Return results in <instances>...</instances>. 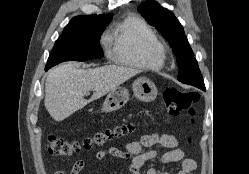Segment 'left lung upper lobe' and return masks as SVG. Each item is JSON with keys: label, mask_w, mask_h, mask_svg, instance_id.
Listing matches in <instances>:
<instances>
[{"label": "left lung upper lobe", "mask_w": 249, "mask_h": 174, "mask_svg": "<svg viewBox=\"0 0 249 174\" xmlns=\"http://www.w3.org/2000/svg\"><path fill=\"white\" fill-rule=\"evenodd\" d=\"M138 11L169 42L179 67L178 80L194 85L203 82L194 53L188 43L183 27L174 14L153 0L138 6Z\"/></svg>", "instance_id": "5c2ea615"}]
</instances>
